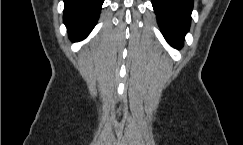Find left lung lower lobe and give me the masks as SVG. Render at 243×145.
Listing matches in <instances>:
<instances>
[{
	"label": "left lung lower lobe",
	"mask_w": 243,
	"mask_h": 145,
	"mask_svg": "<svg viewBox=\"0 0 243 145\" xmlns=\"http://www.w3.org/2000/svg\"><path fill=\"white\" fill-rule=\"evenodd\" d=\"M152 5L163 36L180 49L189 31L193 0H152Z\"/></svg>",
	"instance_id": "left-lung-lower-lobe-1"
}]
</instances>
